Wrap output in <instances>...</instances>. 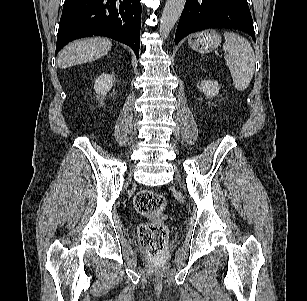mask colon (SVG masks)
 <instances>
[{
	"label": "colon",
	"instance_id": "colon-1",
	"mask_svg": "<svg viewBox=\"0 0 307 301\" xmlns=\"http://www.w3.org/2000/svg\"><path fill=\"white\" fill-rule=\"evenodd\" d=\"M134 207L140 215L148 219L137 230L141 248L151 256H159L168 242V228L164 223V197L155 190L143 189L136 194Z\"/></svg>",
	"mask_w": 307,
	"mask_h": 301
}]
</instances>
